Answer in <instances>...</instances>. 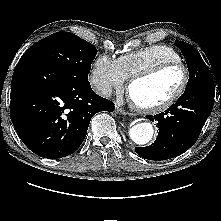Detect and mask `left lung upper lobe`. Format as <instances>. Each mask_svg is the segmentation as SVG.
<instances>
[{
  "instance_id": "1",
  "label": "left lung upper lobe",
  "mask_w": 221,
  "mask_h": 221,
  "mask_svg": "<svg viewBox=\"0 0 221 221\" xmlns=\"http://www.w3.org/2000/svg\"><path fill=\"white\" fill-rule=\"evenodd\" d=\"M176 45L186 59L190 75L185 91L212 82L213 77L211 72L198 51L192 45L183 41H176Z\"/></svg>"
}]
</instances>
